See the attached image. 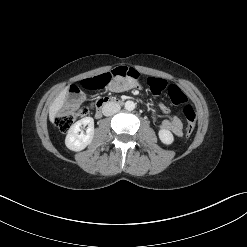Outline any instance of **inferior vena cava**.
Wrapping results in <instances>:
<instances>
[{
    "mask_svg": "<svg viewBox=\"0 0 247 247\" xmlns=\"http://www.w3.org/2000/svg\"><path fill=\"white\" fill-rule=\"evenodd\" d=\"M118 111H120V105L115 102H107L102 108V113L105 116L114 115Z\"/></svg>",
    "mask_w": 247,
    "mask_h": 247,
    "instance_id": "1",
    "label": "inferior vena cava"
}]
</instances>
